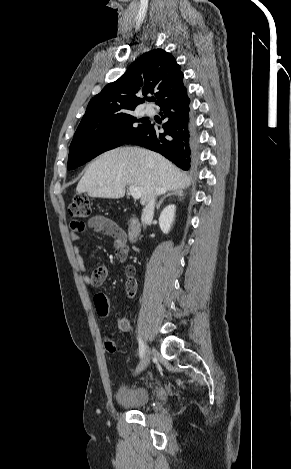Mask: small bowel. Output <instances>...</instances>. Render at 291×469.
<instances>
[{"mask_svg": "<svg viewBox=\"0 0 291 469\" xmlns=\"http://www.w3.org/2000/svg\"><path fill=\"white\" fill-rule=\"evenodd\" d=\"M70 227L72 229L71 240L74 243L73 251L76 257V264L78 268L83 272V281L91 288L99 287L106 280L108 276V269L105 266H98L93 270L92 273H86L84 258L81 254L80 247L78 246V242L80 241V233L85 230V225L79 221H73L71 222ZM87 228L94 232L103 233L111 236L113 239L116 256L119 250L126 248V233L112 220L107 219L103 216H95L88 221ZM126 257L127 253L123 259L119 260L124 261ZM126 287L128 295H133L135 289L132 292L128 283ZM98 314L101 313L98 312ZM117 326L120 331L127 332L130 329V322L125 317H119L117 319Z\"/></svg>", "mask_w": 291, "mask_h": 469, "instance_id": "1", "label": "small bowel"}]
</instances>
